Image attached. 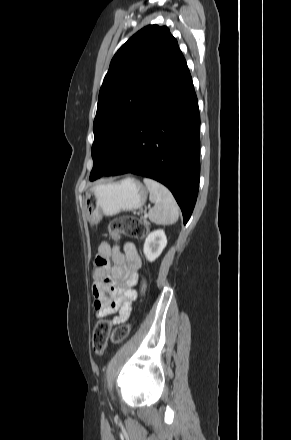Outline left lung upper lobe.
I'll use <instances>...</instances> for the list:
<instances>
[{
  "label": "left lung upper lobe",
  "mask_w": 291,
  "mask_h": 440,
  "mask_svg": "<svg viewBox=\"0 0 291 440\" xmlns=\"http://www.w3.org/2000/svg\"><path fill=\"white\" fill-rule=\"evenodd\" d=\"M183 60L165 26L144 27L117 51L99 92L91 181L103 175L142 112Z\"/></svg>",
  "instance_id": "obj_1"
}]
</instances>
